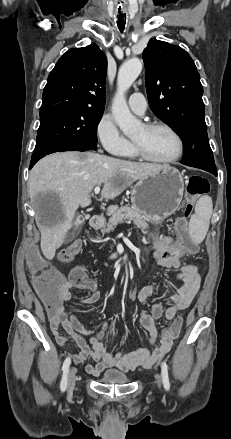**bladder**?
I'll use <instances>...</instances> for the list:
<instances>
[{"mask_svg": "<svg viewBox=\"0 0 231 439\" xmlns=\"http://www.w3.org/2000/svg\"><path fill=\"white\" fill-rule=\"evenodd\" d=\"M100 381L103 384L124 385L130 381V378L127 374H125L122 371L116 369H109L102 374Z\"/></svg>", "mask_w": 231, "mask_h": 439, "instance_id": "bladder-1", "label": "bladder"}]
</instances>
